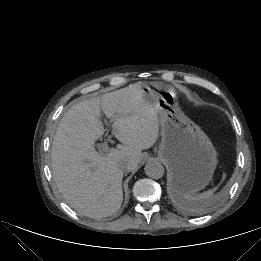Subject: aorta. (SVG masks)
Returning a JSON list of instances; mask_svg holds the SVG:
<instances>
[{"instance_id": "762f6f07", "label": "aorta", "mask_w": 261, "mask_h": 261, "mask_svg": "<svg viewBox=\"0 0 261 261\" xmlns=\"http://www.w3.org/2000/svg\"><path fill=\"white\" fill-rule=\"evenodd\" d=\"M145 173L152 179H159L164 175V167L158 161H150L145 165Z\"/></svg>"}]
</instances>
